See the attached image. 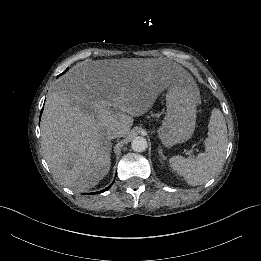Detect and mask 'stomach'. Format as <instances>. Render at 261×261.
I'll return each mask as SVG.
<instances>
[{"label":"stomach","instance_id":"1","mask_svg":"<svg viewBox=\"0 0 261 261\" xmlns=\"http://www.w3.org/2000/svg\"><path fill=\"white\" fill-rule=\"evenodd\" d=\"M199 91L193 85H173L166 94L167 113L158 136L165 147L189 140L194 133Z\"/></svg>","mask_w":261,"mask_h":261}]
</instances>
